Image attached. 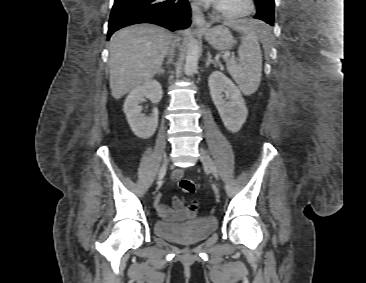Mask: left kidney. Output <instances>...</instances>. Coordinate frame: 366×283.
<instances>
[{"label": "left kidney", "instance_id": "obj_1", "mask_svg": "<svg viewBox=\"0 0 366 283\" xmlns=\"http://www.w3.org/2000/svg\"><path fill=\"white\" fill-rule=\"evenodd\" d=\"M208 85L211 98L224 126L230 132H238L248 115L240 90L220 71H214L210 75Z\"/></svg>", "mask_w": 366, "mask_h": 283}]
</instances>
